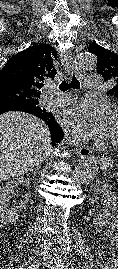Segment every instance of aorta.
I'll use <instances>...</instances> for the list:
<instances>
[{"mask_svg": "<svg viewBox=\"0 0 118 269\" xmlns=\"http://www.w3.org/2000/svg\"><path fill=\"white\" fill-rule=\"evenodd\" d=\"M96 57L90 52H83L77 57V68L85 72L93 70L96 66ZM97 171V164L93 158H88L77 165L74 178L78 180L91 178Z\"/></svg>", "mask_w": 118, "mask_h": 269, "instance_id": "762f6f07", "label": "aorta"}]
</instances>
